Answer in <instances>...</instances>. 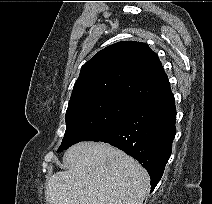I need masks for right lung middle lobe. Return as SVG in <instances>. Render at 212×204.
<instances>
[{
  "instance_id": "obj_1",
  "label": "right lung middle lobe",
  "mask_w": 212,
  "mask_h": 204,
  "mask_svg": "<svg viewBox=\"0 0 212 204\" xmlns=\"http://www.w3.org/2000/svg\"><path fill=\"white\" fill-rule=\"evenodd\" d=\"M140 105L121 97H103L68 107L66 131L57 152L80 141L102 137L130 117Z\"/></svg>"
}]
</instances>
